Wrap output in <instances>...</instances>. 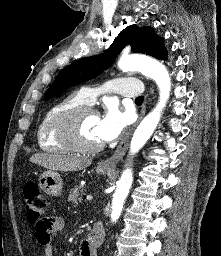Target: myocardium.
<instances>
[{
    "label": "myocardium",
    "mask_w": 221,
    "mask_h": 256,
    "mask_svg": "<svg viewBox=\"0 0 221 256\" xmlns=\"http://www.w3.org/2000/svg\"><path fill=\"white\" fill-rule=\"evenodd\" d=\"M90 113L97 114L89 105L78 106L69 111L59 123V136L69 145L72 151L84 154H93L99 152L103 148L102 143L96 145H86L80 138L82 120Z\"/></svg>",
    "instance_id": "1"
}]
</instances>
